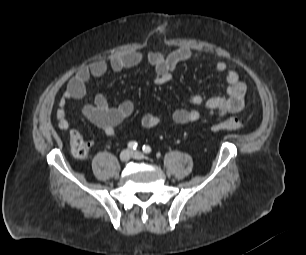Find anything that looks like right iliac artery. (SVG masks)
<instances>
[{
    "instance_id": "obj_1",
    "label": "right iliac artery",
    "mask_w": 306,
    "mask_h": 255,
    "mask_svg": "<svg viewBox=\"0 0 306 255\" xmlns=\"http://www.w3.org/2000/svg\"><path fill=\"white\" fill-rule=\"evenodd\" d=\"M128 148L131 149V150H136V148H137V142H135V141H130V142L128 143Z\"/></svg>"
}]
</instances>
